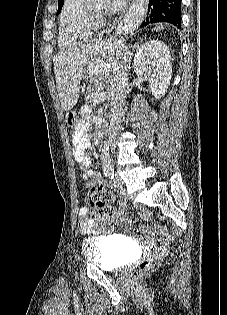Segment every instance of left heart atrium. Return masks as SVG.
Here are the masks:
<instances>
[{"instance_id":"39dd6f15","label":"left heart atrium","mask_w":227,"mask_h":315,"mask_svg":"<svg viewBox=\"0 0 227 315\" xmlns=\"http://www.w3.org/2000/svg\"><path fill=\"white\" fill-rule=\"evenodd\" d=\"M126 4L127 0H110L108 8L111 11H117L126 6Z\"/></svg>"}]
</instances>
